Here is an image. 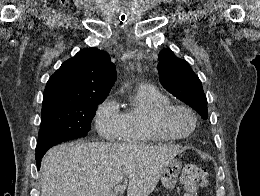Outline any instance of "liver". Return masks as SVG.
I'll use <instances>...</instances> for the list:
<instances>
[{
    "instance_id": "obj_1",
    "label": "liver",
    "mask_w": 260,
    "mask_h": 196,
    "mask_svg": "<svg viewBox=\"0 0 260 196\" xmlns=\"http://www.w3.org/2000/svg\"><path fill=\"white\" fill-rule=\"evenodd\" d=\"M181 146L70 142L46 152L40 170L41 196H115L125 176L127 196H149Z\"/></svg>"
}]
</instances>
